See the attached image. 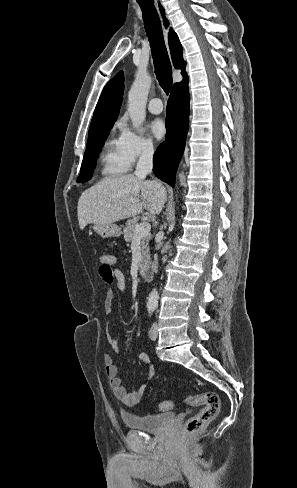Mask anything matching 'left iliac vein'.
<instances>
[{"label": "left iliac vein", "instance_id": "4c4485c4", "mask_svg": "<svg viewBox=\"0 0 297 488\" xmlns=\"http://www.w3.org/2000/svg\"><path fill=\"white\" fill-rule=\"evenodd\" d=\"M149 337L151 340H156L158 338V325L157 323H153L150 332H149Z\"/></svg>", "mask_w": 297, "mask_h": 488}]
</instances>
